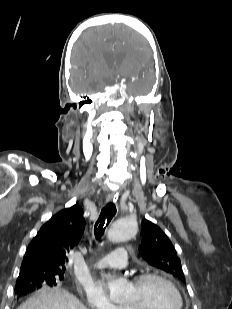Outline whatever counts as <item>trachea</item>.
I'll list each match as a JSON object with an SVG mask.
<instances>
[{"label": "trachea", "mask_w": 232, "mask_h": 309, "mask_svg": "<svg viewBox=\"0 0 232 309\" xmlns=\"http://www.w3.org/2000/svg\"><path fill=\"white\" fill-rule=\"evenodd\" d=\"M115 214H116V206L112 202H109L101 210L100 216L94 226V234L97 239H99L103 235L106 227L108 226L112 218L115 216Z\"/></svg>", "instance_id": "trachea-1"}]
</instances>
